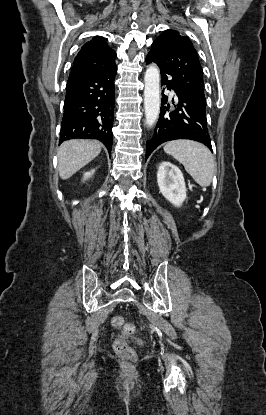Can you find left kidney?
Returning a JSON list of instances; mask_svg holds the SVG:
<instances>
[{"mask_svg": "<svg viewBox=\"0 0 266 415\" xmlns=\"http://www.w3.org/2000/svg\"><path fill=\"white\" fill-rule=\"evenodd\" d=\"M157 183L162 195L179 207L186 199V186L182 172L170 162H162L157 172Z\"/></svg>", "mask_w": 266, "mask_h": 415, "instance_id": "1", "label": "left kidney"}]
</instances>
